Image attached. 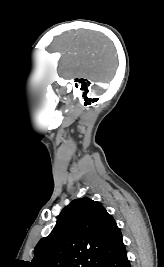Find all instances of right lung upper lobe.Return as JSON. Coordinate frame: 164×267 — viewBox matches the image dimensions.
Wrapping results in <instances>:
<instances>
[{
	"mask_svg": "<svg viewBox=\"0 0 164 267\" xmlns=\"http://www.w3.org/2000/svg\"><path fill=\"white\" fill-rule=\"evenodd\" d=\"M124 248L113 217L100 202L73 200L60 213L49 236L35 247L31 267H97Z\"/></svg>",
	"mask_w": 164,
	"mask_h": 267,
	"instance_id": "right-lung-upper-lobe-1",
	"label": "right lung upper lobe"
}]
</instances>
